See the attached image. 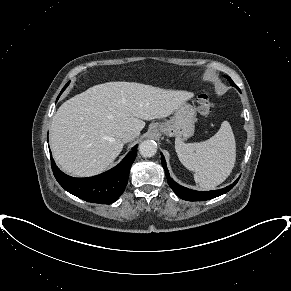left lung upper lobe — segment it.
Returning a JSON list of instances; mask_svg holds the SVG:
<instances>
[{
  "label": "left lung upper lobe",
  "instance_id": "left-lung-upper-lobe-1",
  "mask_svg": "<svg viewBox=\"0 0 291 291\" xmlns=\"http://www.w3.org/2000/svg\"><path fill=\"white\" fill-rule=\"evenodd\" d=\"M224 77L227 78V79L229 80V82H230V84H231L232 86H234V87H236V88L238 89V87L234 84V82L231 80L230 77H228V76H224Z\"/></svg>",
  "mask_w": 291,
  "mask_h": 291
}]
</instances>
